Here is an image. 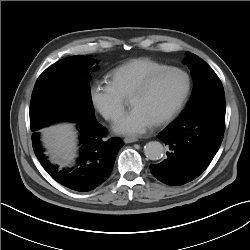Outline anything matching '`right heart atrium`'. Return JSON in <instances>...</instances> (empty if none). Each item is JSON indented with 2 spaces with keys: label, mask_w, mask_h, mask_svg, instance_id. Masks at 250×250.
Segmentation results:
<instances>
[{
  "label": "right heart atrium",
  "mask_w": 250,
  "mask_h": 250,
  "mask_svg": "<svg viewBox=\"0 0 250 250\" xmlns=\"http://www.w3.org/2000/svg\"><path fill=\"white\" fill-rule=\"evenodd\" d=\"M92 106L106 120L116 121L122 115L126 98L115 88L110 80H97L89 88Z\"/></svg>",
  "instance_id": "obj_1"
}]
</instances>
